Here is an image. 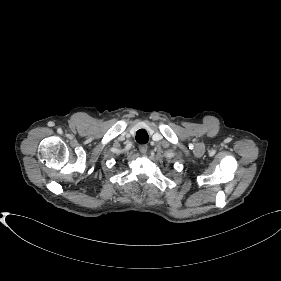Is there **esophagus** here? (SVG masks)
Here are the masks:
<instances>
[{"mask_svg":"<svg viewBox=\"0 0 281 281\" xmlns=\"http://www.w3.org/2000/svg\"><path fill=\"white\" fill-rule=\"evenodd\" d=\"M147 149H148V146L146 144L144 145H140L139 146V151L142 153V154H145L147 152Z\"/></svg>","mask_w":281,"mask_h":281,"instance_id":"1","label":"esophagus"}]
</instances>
